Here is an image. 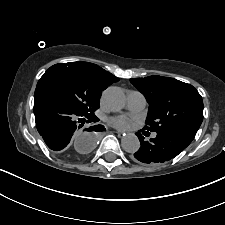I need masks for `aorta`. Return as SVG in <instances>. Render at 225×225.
I'll list each match as a JSON object with an SVG mask.
<instances>
[{
    "instance_id": "aorta-1",
    "label": "aorta",
    "mask_w": 225,
    "mask_h": 225,
    "mask_svg": "<svg viewBox=\"0 0 225 225\" xmlns=\"http://www.w3.org/2000/svg\"><path fill=\"white\" fill-rule=\"evenodd\" d=\"M104 105L111 111L121 110L126 103L125 94L119 87H109L102 95ZM122 148L129 153L136 152L140 147L138 137L133 133L125 134L121 139Z\"/></svg>"
}]
</instances>
